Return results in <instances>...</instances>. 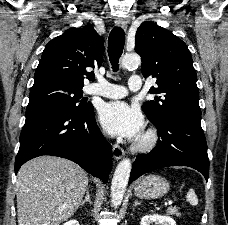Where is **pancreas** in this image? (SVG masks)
<instances>
[{
  "label": "pancreas",
  "mask_w": 228,
  "mask_h": 225,
  "mask_svg": "<svg viewBox=\"0 0 228 225\" xmlns=\"http://www.w3.org/2000/svg\"><path fill=\"white\" fill-rule=\"evenodd\" d=\"M179 207H168L167 213L168 215H177V217H181V213H178Z\"/></svg>",
  "instance_id": "1"
}]
</instances>
